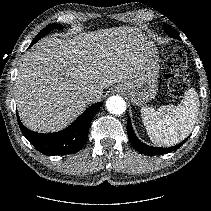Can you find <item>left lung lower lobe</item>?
<instances>
[{
    "instance_id": "obj_1",
    "label": "left lung lower lobe",
    "mask_w": 211,
    "mask_h": 211,
    "mask_svg": "<svg viewBox=\"0 0 211 211\" xmlns=\"http://www.w3.org/2000/svg\"><path fill=\"white\" fill-rule=\"evenodd\" d=\"M127 133L129 136V140L132 144V146L140 153L145 154V155H160V154H167L170 153L176 149H178L182 144H184L185 141H183L182 143L174 146V147H170V148H155V147H151L148 146L144 143H142L137 136L135 135L132 125H131V121L130 119H128L127 121Z\"/></svg>"
}]
</instances>
